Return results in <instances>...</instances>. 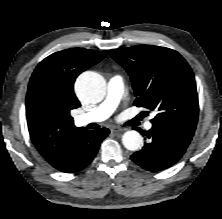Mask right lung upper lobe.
Instances as JSON below:
<instances>
[{
    "mask_svg": "<svg viewBox=\"0 0 222 219\" xmlns=\"http://www.w3.org/2000/svg\"><path fill=\"white\" fill-rule=\"evenodd\" d=\"M107 51L72 48L51 54L34 70L26 96L30 138L41 155L57 165L84 131L70 112L80 106L74 94L77 76L100 62Z\"/></svg>",
    "mask_w": 222,
    "mask_h": 219,
    "instance_id": "right-lung-upper-lobe-1",
    "label": "right lung upper lobe"
}]
</instances>
